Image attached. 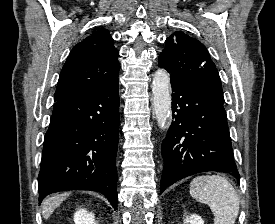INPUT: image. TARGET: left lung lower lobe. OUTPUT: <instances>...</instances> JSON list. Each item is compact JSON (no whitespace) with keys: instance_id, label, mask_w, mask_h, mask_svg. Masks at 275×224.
<instances>
[{"instance_id":"obj_1","label":"left lung lower lobe","mask_w":275,"mask_h":224,"mask_svg":"<svg viewBox=\"0 0 275 224\" xmlns=\"http://www.w3.org/2000/svg\"><path fill=\"white\" fill-rule=\"evenodd\" d=\"M173 122L162 143V193L176 181L206 171L240 176L234 162L224 98L193 85L171 83Z\"/></svg>"}]
</instances>
